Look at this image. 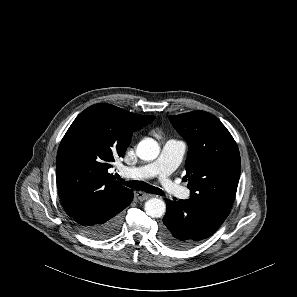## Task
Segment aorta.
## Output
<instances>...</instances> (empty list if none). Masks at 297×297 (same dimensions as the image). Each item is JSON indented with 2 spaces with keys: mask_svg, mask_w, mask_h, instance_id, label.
Wrapping results in <instances>:
<instances>
[{
  "mask_svg": "<svg viewBox=\"0 0 297 297\" xmlns=\"http://www.w3.org/2000/svg\"><path fill=\"white\" fill-rule=\"evenodd\" d=\"M136 151L140 159L150 161L158 157L160 148L155 140L147 138L139 142ZM144 209L149 217L159 218L165 213L166 205L161 199L151 198L145 203Z\"/></svg>",
  "mask_w": 297,
  "mask_h": 297,
  "instance_id": "762f6f07",
  "label": "aorta"
}]
</instances>
